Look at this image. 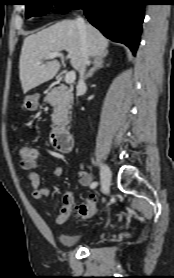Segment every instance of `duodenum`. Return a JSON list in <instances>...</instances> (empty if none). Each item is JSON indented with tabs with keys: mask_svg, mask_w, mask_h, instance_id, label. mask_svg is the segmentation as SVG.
<instances>
[{
	"mask_svg": "<svg viewBox=\"0 0 174 278\" xmlns=\"http://www.w3.org/2000/svg\"><path fill=\"white\" fill-rule=\"evenodd\" d=\"M51 144L61 152H69L73 146V137L71 132L64 127L55 128L50 136Z\"/></svg>",
	"mask_w": 174,
	"mask_h": 278,
	"instance_id": "410a0bca",
	"label": "duodenum"
}]
</instances>
